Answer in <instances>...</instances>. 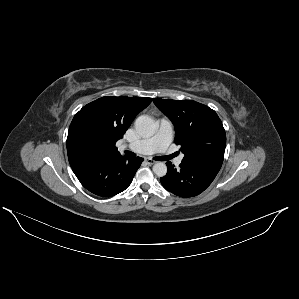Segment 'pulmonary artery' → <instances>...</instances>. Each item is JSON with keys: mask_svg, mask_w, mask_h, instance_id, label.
I'll return each instance as SVG.
<instances>
[{"mask_svg": "<svg viewBox=\"0 0 299 299\" xmlns=\"http://www.w3.org/2000/svg\"><path fill=\"white\" fill-rule=\"evenodd\" d=\"M171 136L172 123L168 119L162 118L158 121L157 132L153 137L130 143L126 145V148L135 153L145 155L154 153L165 154L168 151V147L171 142ZM181 162V157H177L174 160L176 165H180Z\"/></svg>", "mask_w": 299, "mask_h": 299, "instance_id": "pulmonary-artery-1", "label": "pulmonary artery"}]
</instances>
